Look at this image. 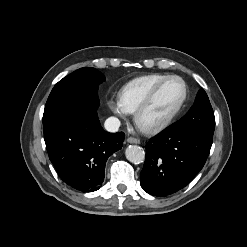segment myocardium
<instances>
[{
  "instance_id": "1",
  "label": "myocardium",
  "mask_w": 247,
  "mask_h": 247,
  "mask_svg": "<svg viewBox=\"0 0 247 247\" xmlns=\"http://www.w3.org/2000/svg\"><path fill=\"white\" fill-rule=\"evenodd\" d=\"M179 80L184 87V93H183V97L181 99V101L179 102V104L177 105V107L173 110V112L168 115L165 119L151 124V125H145L142 123V117L144 115V113L147 111V109L151 106L152 102L154 101L156 95L158 94V92L160 91V89L170 80ZM188 98V86L187 83L185 82V80L177 75H169L166 78H164L162 81H160L157 85H155V87L149 92V94L147 95V97L143 100V102L139 105V107L137 108V110L134 113V120L136 125L138 126V128L143 131L144 133L147 134H156L159 133L161 131H163L164 129H166L167 127H169L172 122L176 119V117L180 114L181 110L183 109L186 100Z\"/></svg>"
}]
</instances>
